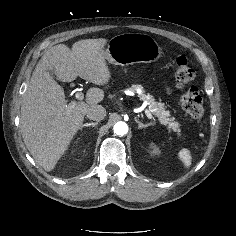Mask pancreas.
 I'll return each instance as SVG.
<instances>
[{
	"mask_svg": "<svg viewBox=\"0 0 236 236\" xmlns=\"http://www.w3.org/2000/svg\"><path fill=\"white\" fill-rule=\"evenodd\" d=\"M137 89H141V93L138 96L140 100L146 101L148 103V109L150 113L157 117L161 124L167 126L169 131H174L178 136H180V124L178 122H175L174 118H169L170 112L165 110L164 103L156 102L151 95L145 94L143 88L139 85H132L130 87V90L133 92H135Z\"/></svg>",
	"mask_w": 236,
	"mask_h": 236,
	"instance_id": "pancreas-1",
	"label": "pancreas"
}]
</instances>
